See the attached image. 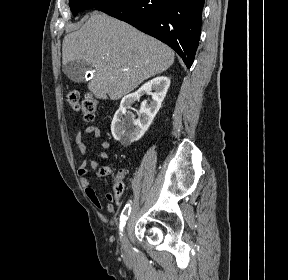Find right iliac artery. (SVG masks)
<instances>
[{"label": "right iliac artery", "instance_id": "obj_1", "mask_svg": "<svg viewBox=\"0 0 288 280\" xmlns=\"http://www.w3.org/2000/svg\"><path fill=\"white\" fill-rule=\"evenodd\" d=\"M131 200H129L127 202V204L125 205L124 209L122 210L121 216H120V225H119V229H120V234L122 235V231L124 229V226L126 224V221L130 215L131 212Z\"/></svg>", "mask_w": 288, "mask_h": 280}]
</instances>
